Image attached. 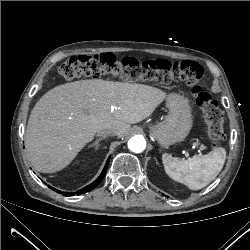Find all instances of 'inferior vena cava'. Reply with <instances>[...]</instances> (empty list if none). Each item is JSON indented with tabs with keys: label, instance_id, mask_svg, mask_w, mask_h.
Here are the masks:
<instances>
[{
	"label": "inferior vena cava",
	"instance_id": "obj_1",
	"mask_svg": "<svg viewBox=\"0 0 250 250\" xmlns=\"http://www.w3.org/2000/svg\"><path fill=\"white\" fill-rule=\"evenodd\" d=\"M116 134V131L114 130V129H112V128H110V129H104V130H99L98 132H97V135L98 136H110V135H115Z\"/></svg>",
	"mask_w": 250,
	"mask_h": 250
}]
</instances>
